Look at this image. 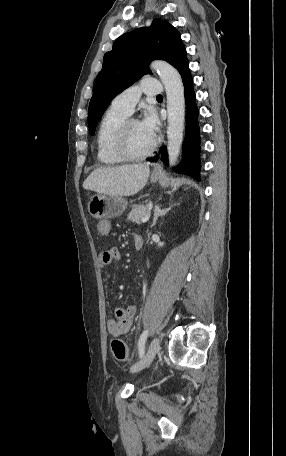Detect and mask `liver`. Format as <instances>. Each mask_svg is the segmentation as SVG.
<instances>
[{
  "label": "liver",
  "instance_id": "6515ba94",
  "mask_svg": "<svg viewBox=\"0 0 286 456\" xmlns=\"http://www.w3.org/2000/svg\"><path fill=\"white\" fill-rule=\"evenodd\" d=\"M149 173L146 163L99 167L86 178L83 188L105 195L132 196L146 185Z\"/></svg>",
  "mask_w": 286,
  "mask_h": 456
}]
</instances>
